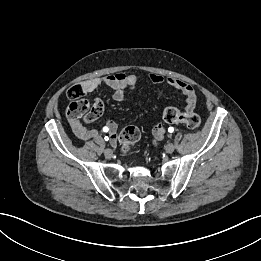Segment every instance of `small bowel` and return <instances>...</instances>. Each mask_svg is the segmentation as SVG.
<instances>
[{"mask_svg":"<svg viewBox=\"0 0 261 261\" xmlns=\"http://www.w3.org/2000/svg\"><path fill=\"white\" fill-rule=\"evenodd\" d=\"M150 80L154 84L166 83L181 91L186 98L184 108L185 113L192 112L195 109L197 103V94L190 84L174 77H163L155 73L150 74ZM137 83L138 77L134 74L116 73L108 76L88 79L83 81L80 85L85 94L93 92L101 85H106L114 91V99L117 102L124 103L126 102V90L133 89ZM97 101L101 104L103 109L102 102L99 100ZM79 118L80 117L72 116L68 110V120L74 135L82 141L96 137L98 135V131L94 128L86 127L79 120ZM105 127L108 128L107 132H109L112 144H115L117 141V124L114 121L109 120L107 121ZM165 133L166 128L163 125L156 126L153 129L154 143L160 142L164 138Z\"/></svg>","mask_w":261,"mask_h":261,"instance_id":"small-bowel-1","label":"small bowel"}]
</instances>
